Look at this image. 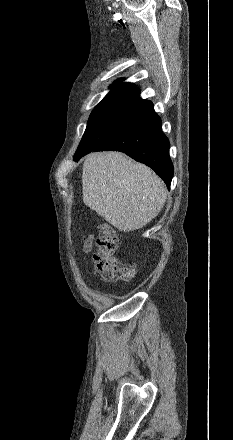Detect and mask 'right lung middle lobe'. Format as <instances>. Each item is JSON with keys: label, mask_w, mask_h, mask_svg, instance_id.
I'll use <instances>...</instances> for the list:
<instances>
[{"label": "right lung middle lobe", "mask_w": 233, "mask_h": 440, "mask_svg": "<svg viewBox=\"0 0 233 440\" xmlns=\"http://www.w3.org/2000/svg\"><path fill=\"white\" fill-rule=\"evenodd\" d=\"M124 105L114 103H99L90 115L83 138L104 124L110 117L122 109ZM82 138V139H83Z\"/></svg>", "instance_id": "dd1d6c3e"}]
</instances>
